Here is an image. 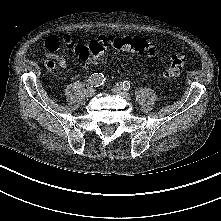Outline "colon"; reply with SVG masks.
Segmentation results:
<instances>
[{"label":"colon","instance_id":"obj_1","mask_svg":"<svg viewBox=\"0 0 221 221\" xmlns=\"http://www.w3.org/2000/svg\"><path fill=\"white\" fill-rule=\"evenodd\" d=\"M118 52L144 53L148 49V42L139 36L125 38L99 37L91 41L80 51L81 60L88 64L98 61L108 50ZM185 57L181 54L173 56L170 64L165 70V75L170 78L178 77L185 69Z\"/></svg>","mask_w":221,"mask_h":221}]
</instances>
